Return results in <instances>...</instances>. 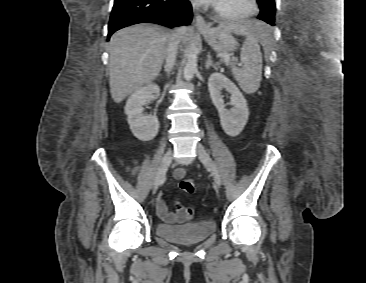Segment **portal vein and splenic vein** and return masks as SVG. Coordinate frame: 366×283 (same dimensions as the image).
Returning <instances> with one entry per match:
<instances>
[{"label": "portal vein and splenic vein", "mask_w": 366, "mask_h": 283, "mask_svg": "<svg viewBox=\"0 0 366 283\" xmlns=\"http://www.w3.org/2000/svg\"><path fill=\"white\" fill-rule=\"evenodd\" d=\"M229 58H230L229 54H225V55H224V60H225V61H229ZM239 66H242V64H241V63H239Z\"/></svg>", "instance_id": "portal-vein-and-splenic-vein-1"}]
</instances>
